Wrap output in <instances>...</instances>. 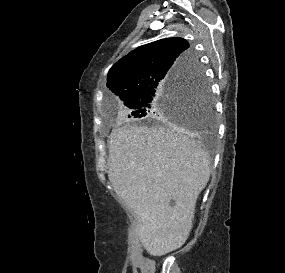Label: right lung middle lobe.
<instances>
[{
	"label": "right lung middle lobe",
	"instance_id": "obj_1",
	"mask_svg": "<svg viewBox=\"0 0 285 273\" xmlns=\"http://www.w3.org/2000/svg\"><path fill=\"white\" fill-rule=\"evenodd\" d=\"M131 116L176 120L208 129L214 128L210 86L200 67L169 79L154 89L124 103Z\"/></svg>",
	"mask_w": 285,
	"mask_h": 273
}]
</instances>
